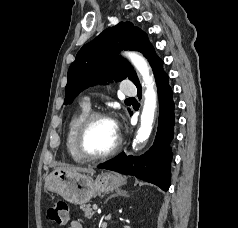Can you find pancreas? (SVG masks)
<instances>
[{
  "label": "pancreas",
  "mask_w": 238,
  "mask_h": 228,
  "mask_svg": "<svg viewBox=\"0 0 238 228\" xmlns=\"http://www.w3.org/2000/svg\"><path fill=\"white\" fill-rule=\"evenodd\" d=\"M80 208L84 211V215L86 218L91 219L95 212L91 209L90 204L81 205Z\"/></svg>",
  "instance_id": "1"
}]
</instances>
